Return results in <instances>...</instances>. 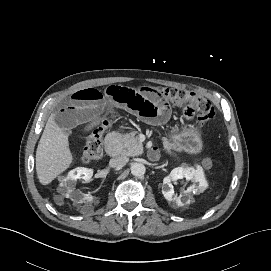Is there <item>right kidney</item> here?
I'll return each mask as SVG.
<instances>
[{"label":"right kidney","instance_id":"obj_1","mask_svg":"<svg viewBox=\"0 0 271 271\" xmlns=\"http://www.w3.org/2000/svg\"><path fill=\"white\" fill-rule=\"evenodd\" d=\"M93 175V170L85 167H77L68 173V176L64 178L60 184L59 191L66 197L77 203H86L93 200V196L90 194H80L75 191V182L77 179H83L89 181Z\"/></svg>","mask_w":271,"mask_h":271}]
</instances>
